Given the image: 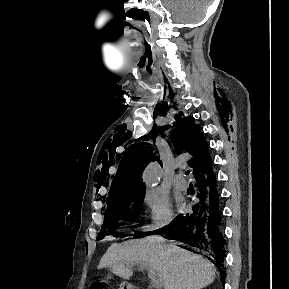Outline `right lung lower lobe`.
<instances>
[{"label":"right lung lower lobe","instance_id":"1","mask_svg":"<svg viewBox=\"0 0 289 289\" xmlns=\"http://www.w3.org/2000/svg\"><path fill=\"white\" fill-rule=\"evenodd\" d=\"M197 199L189 213L178 215L173 222L149 234L165 235V238L188 244V250L205 253L220 270L224 285L225 244L216 180L211 170L196 179Z\"/></svg>","mask_w":289,"mask_h":289}]
</instances>
